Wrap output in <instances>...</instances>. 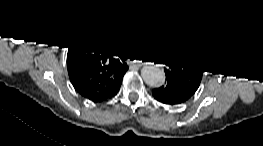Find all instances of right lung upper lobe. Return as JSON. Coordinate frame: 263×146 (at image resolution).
I'll return each instance as SVG.
<instances>
[{"label":"right lung upper lobe","instance_id":"cb5924a9","mask_svg":"<svg viewBox=\"0 0 263 146\" xmlns=\"http://www.w3.org/2000/svg\"><path fill=\"white\" fill-rule=\"evenodd\" d=\"M68 48L67 69L75 90L94 102L112 97L128 69L112 57L114 48L94 27L82 28Z\"/></svg>","mask_w":263,"mask_h":146}]
</instances>
